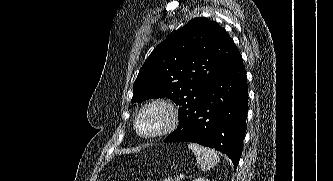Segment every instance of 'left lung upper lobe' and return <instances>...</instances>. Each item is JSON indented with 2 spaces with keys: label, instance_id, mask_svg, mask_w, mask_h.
I'll use <instances>...</instances> for the list:
<instances>
[{
  "label": "left lung upper lobe",
  "instance_id": "left-lung-upper-lobe-1",
  "mask_svg": "<svg viewBox=\"0 0 333 181\" xmlns=\"http://www.w3.org/2000/svg\"><path fill=\"white\" fill-rule=\"evenodd\" d=\"M238 54L217 22L194 18L152 51L135 80L131 102L166 97L179 105L181 116Z\"/></svg>",
  "mask_w": 333,
  "mask_h": 181
}]
</instances>
